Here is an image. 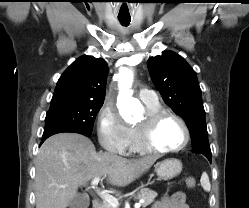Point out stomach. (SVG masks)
Returning <instances> with one entry per match:
<instances>
[{
    "label": "stomach",
    "mask_w": 249,
    "mask_h": 208,
    "mask_svg": "<svg viewBox=\"0 0 249 208\" xmlns=\"http://www.w3.org/2000/svg\"><path fill=\"white\" fill-rule=\"evenodd\" d=\"M182 171V163L180 160L171 158L163 160L155 165V172L162 180L173 179Z\"/></svg>",
    "instance_id": "obj_1"
}]
</instances>
